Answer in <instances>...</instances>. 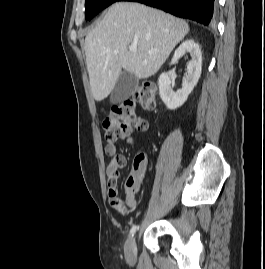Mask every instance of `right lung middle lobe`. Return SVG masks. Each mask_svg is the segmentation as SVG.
Listing matches in <instances>:
<instances>
[{"mask_svg":"<svg viewBox=\"0 0 265 269\" xmlns=\"http://www.w3.org/2000/svg\"><path fill=\"white\" fill-rule=\"evenodd\" d=\"M122 0H86L85 2V19L91 20L101 10L108 7L114 2Z\"/></svg>","mask_w":265,"mask_h":269,"instance_id":"1","label":"right lung middle lobe"}]
</instances>
